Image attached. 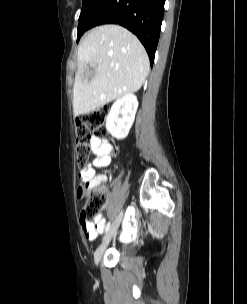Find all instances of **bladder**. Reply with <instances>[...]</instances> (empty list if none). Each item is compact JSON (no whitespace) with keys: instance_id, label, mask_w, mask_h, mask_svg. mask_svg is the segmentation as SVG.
<instances>
[{"instance_id":"1","label":"bladder","mask_w":247,"mask_h":304,"mask_svg":"<svg viewBox=\"0 0 247 304\" xmlns=\"http://www.w3.org/2000/svg\"><path fill=\"white\" fill-rule=\"evenodd\" d=\"M120 253L124 256L131 255L133 253L132 249L129 247H121L120 248Z\"/></svg>"}]
</instances>
